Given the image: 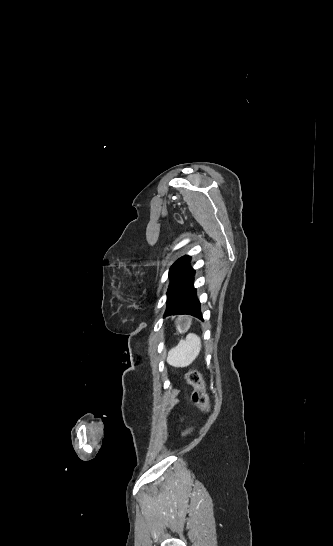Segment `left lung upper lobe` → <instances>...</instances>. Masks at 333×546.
Segmentation results:
<instances>
[{
    "mask_svg": "<svg viewBox=\"0 0 333 546\" xmlns=\"http://www.w3.org/2000/svg\"><path fill=\"white\" fill-rule=\"evenodd\" d=\"M189 261H190V257L189 256H184V257H181L180 259H178L171 266V268L169 270V277L171 278V283L178 276V274L180 272H182L189 265Z\"/></svg>",
    "mask_w": 333,
    "mask_h": 546,
    "instance_id": "left-lung-upper-lobe-1",
    "label": "left lung upper lobe"
}]
</instances>
